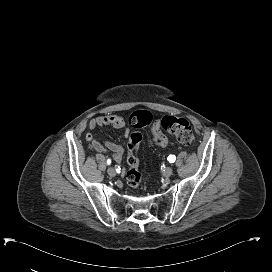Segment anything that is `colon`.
<instances>
[{"mask_svg":"<svg viewBox=\"0 0 272 272\" xmlns=\"http://www.w3.org/2000/svg\"><path fill=\"white\" fill-rule=\"evenodd\" d=\"M150 121L147 114L133 113L130 115L128 122L135 128L144 127ZM161 127L174 136L180 143L184 145H192L194 142V134L189 122L181 117L165 116L160 121ZM142 141V135L139 132H132L129 137V150L137 149ZM129 169L126 173V180L130 187L137 188L141 184V173L138 170L137 158L134 154L129 153L128 157Z\"/></svg>","mask_w":272,"mask_h":272,"instance_id":"obj_1","label":"colon"}]
</instances>
